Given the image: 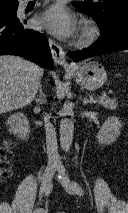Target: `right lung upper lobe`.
I'll return each mask as SVG.
<instances>
[{"label":"right lung upper lobe","mask_w":128,"mask_h":213,"mask_svg":"<svg viewBox=\"0 0 128 213\" xmlns=\"http://www.w3.org/2000/svg\"><path fill=\"white\" fill-rule=\"evenodd\" d=\"M18 0H0V7L18 6Z\"/></svg>","instance_id":"cb5924a9"}]
</instances>
